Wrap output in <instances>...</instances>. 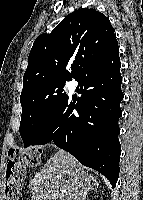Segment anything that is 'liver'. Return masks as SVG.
<instances>
[{
    "label": "liver",
    "instance_id": "liver-1",
    "mask_svg": "<svg viewBox=\"0 0 143 200\" xmlns=\"http://www.w3.org/2000/svg\"><path fill=\"white\" fill-rule=\"evenodd\" d=\"M93 179L75 157L59 150L30 180L31 200H82Z\"/></svg>",
    "mask_w": 143,
    "mask_h": 200
}]
</instances>
